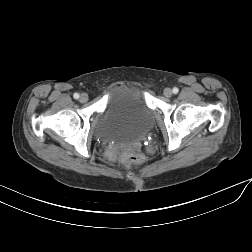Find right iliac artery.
I'll return each instance as SVG.
<instances>
[{"label":"right iliac artery","mask_w":252,"mask_h":252,"mask_svg":"<svg viewBox=\"0 0 252 252\" xmlns=\"http://www.w3.org/2000/svg\"><path fill=\"white\" fill-rule=\"evenodd\" d=\"M73 97H74L75 99H78V98H79V94H78V93H75V94L73 95Z\"/></svg>","instance_id":"82829eb1"}]
</instances>
